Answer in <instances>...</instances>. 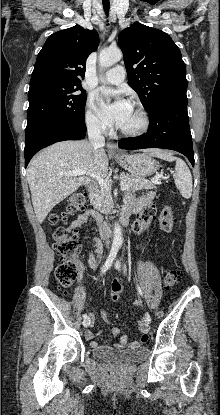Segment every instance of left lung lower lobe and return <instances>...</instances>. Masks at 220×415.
<instances>
[{
  "label": "left lung lower lobe",
  "mask_w": 220,
  "mask_h": 415,
  "mask_svg": "<svg viewBox=\"0 0 220 415\" xmlns=\"http://www.w3.org/2000/svg\"><path fill=\"white\" fill-rule=\"evenodd\" d=\"M187 96L178 94L162 99L149 113V129L139 137L119 140L121 149H172L184 154L194 166L192 136L187 114Z\"/></svg>",
  "instance_id": "obj_1"
}]
</instances>
